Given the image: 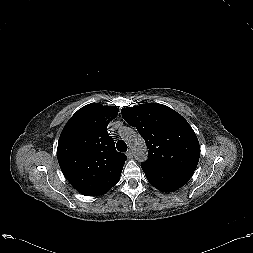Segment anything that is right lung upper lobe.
<instances>
[{
  "mask_svg": "<svg viewBox=\"0 0 253 253\" xmlns=\"http://www.w3.org/2000/svg\"><path fill=\"white\" fill-rule=\"evenodd\" d=\"M117 114L115 106L91 103L79 109L61 132L57 149L60 168L83 195H103L120 179L127 157L116 151L107 132Z\"/></svg>",
  "mask_w": 253,
  "mask_h": 253,
  "instance_id": "right-lung-upper-lobe-1",
  "label": "right lung upper lobe"
}]
</instances>
